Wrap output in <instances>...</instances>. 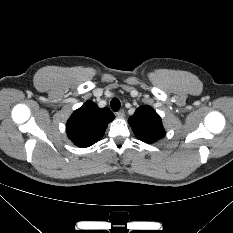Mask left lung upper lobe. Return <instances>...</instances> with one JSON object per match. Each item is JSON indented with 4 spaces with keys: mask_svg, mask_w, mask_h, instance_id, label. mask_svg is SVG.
Returning a JSON list of instances; mask_svg holds the SVG:
<instances>
[{
    "mask_svg": "<svg viewBox=\"0 0 233 233\" xmlns=\"http://www.w3.org/2000/svg\"><path fill=\"white\" fill-rule=\"evenodd\" d=\"M128 122L135 136L146 143H154L165 135L160 116L150 106H140Z\"/></svg>",
    "mask_w": 233,
    "mask_h": 233,
    "instance_id": "obj_1",
    "label": "left lung upper lobe"
}]
</instances>
